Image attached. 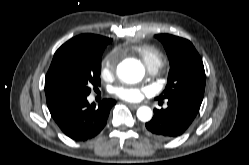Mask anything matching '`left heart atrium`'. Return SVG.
<instances>
[{
    "label": "left heart atrium",
    "mask_w": 249,
    "mask_h": 165,
    "mask_svg": "<svg viewBox=\"0 0 249 165\" xmlns=\"http://www.w3.org/2000/svg\"><path fill=\"white\" fill-rule=\"evenodd\" d=\"M148 92L145 87H135V86H117L114 88V94L126 101H139Z\"/></svg>",
    "instance_id": "39dd6f15"
}]
</instances>
